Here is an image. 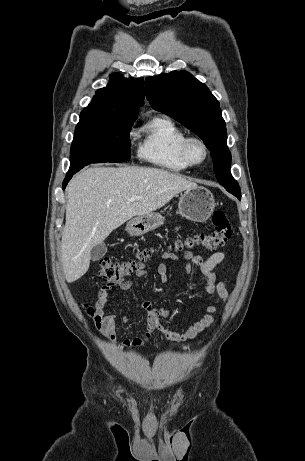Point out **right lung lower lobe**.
<instances>
[{
  "label": "right lung lower lobe",
  "mask_w": 305,
  "mask_h": 461,
  "mask_svg": "<svg viewBox=\"0 0 305 461\" xmlns=\"http://www.w3.org/2000/svg\"><path fill=\"white\" fill-rule=\"evenodd\" d=\"M79 170H80V168L69 169V171L67 173V176H66V178H65V180L63 182V189L66 187L67 183L72 178V176Z\"/></svg>",
  "instance_id": "98d812e1"
}]
</instances>
